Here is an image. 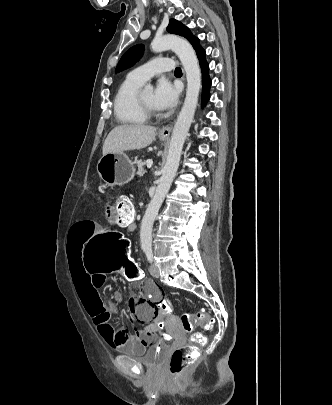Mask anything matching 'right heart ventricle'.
I'll return each instance as SVG.
<instances>
[{
  "mask_svg": "<svg viewBox=\"0 0 332 405\" xmlns=\"http://www.w3.org/2000/svg\"><path fill=\"white\" fill-rule=\"evenodd\" d=\"M142 85V83L128 77L118 88L114 97V114L119 123L139 125L148 120L137 101L138 92Z\"/></svg>",
  "mask_w": 332,
  "mask_h": 405,
  "instance_id": "obj_1",
  "label": "right heart ventricle"
}]
</instances>
